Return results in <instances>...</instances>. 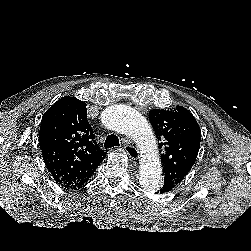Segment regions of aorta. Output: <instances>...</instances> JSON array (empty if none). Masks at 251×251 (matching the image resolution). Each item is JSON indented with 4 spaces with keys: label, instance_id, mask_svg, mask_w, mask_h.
<instances>
[{
    "label": "aorta",
    "instance_id": "obj_1",
    "mask_svg": "<svg viewBox=\"0 0 251 251\" xmlns=\"http://www.w3.org/2000/svg\"><path fill=\"white\" fill-rule=\"evenodd\" d=\"M101 121L106 128L127 135L137 143L143 154L139 183L148 193L158 191L163 184L162 168L156 138L148 121L126 105L106 108L101 113Z\"/></svg>",
    "mask_w": 251,
    "mask_h": 251
}]
</instances>
